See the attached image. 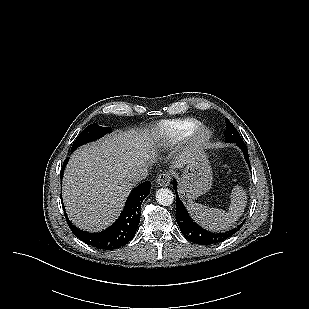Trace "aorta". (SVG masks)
I'll return each instance as SVG.
<instances>
[{
  "mask_svg": "<svg viewBox=\"0 0 309 309\" xmlns=\"http://www.w3.org/2000/svg\"><path fill=\"white\" fill-rule=\"evenodd\" d=\"M156 201L163 206H169L174 201V194L168 188H160L156 191Z\"/></svg>",
  "mask_w": 309,
  "mask_h": 309,
  "instance_id": "obj_1",
  "label": "aorta"
}]
</instances>
